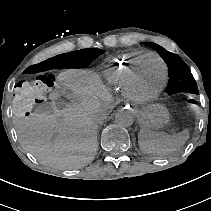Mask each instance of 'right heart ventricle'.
I'll return each instance as SVG.
<instances>
[{
    "instance_id": "right-heart-ventricle-1",
    "label": "right heart ventricle",
    "mask_w": 211,
    "mask_h": 211,
    "mask_svg": "<svg viewBox=\"0 0 211 211\" xmlns=\"http://www.w3.org/2000/svg\"><path fill=\"white\" fill-rule=\"evenodd\" d=\"M138 61V52L128 50L123 55L117 56L116 59L108 60L104 67L105 76L110 78V82L127 96H129L130 71L133 70Z\"/></svg>"
}]
</instances>
